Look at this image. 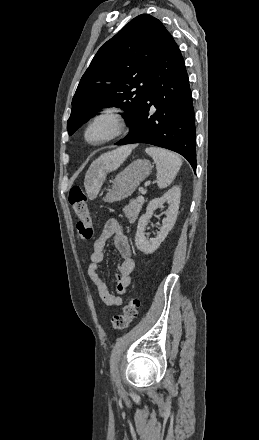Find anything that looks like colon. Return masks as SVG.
<instances>
[{
  "mask_svg": "<svg viewBox=\"0 0 259 440\" xmlns=\"http://www.w3.org/2000/svg\"><path fill=\"white\" fill-rule=\"evenodd\" d=\"M68 200L78 217L77 231L81 240L85 242L91 241L94 237V228L87 205V198L81 187L73 186L69 191ZM139 306L140 302L136 296L129 298L123 307L122 314L113 317V328L116 330L126 329L137 317Z\"/></svg>",
  "mask_w": 259,
  "mask_h": 440,
  "instance_id": "obj_1",
  "label": "colon"
}]
</instances>
